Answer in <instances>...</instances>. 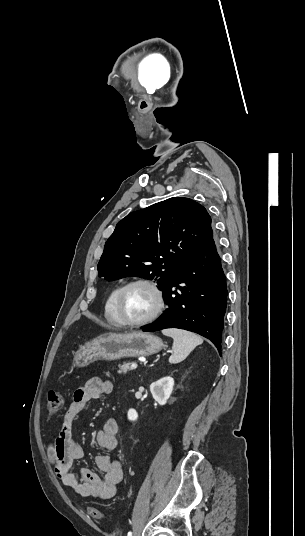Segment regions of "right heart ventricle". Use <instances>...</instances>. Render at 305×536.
<instances>
[{"label":"right heart ventricle","mask_w":305,"mask_h":536,"mask_svg":"<svg viewBox=\"0 0 305 536\" xmlns=\"http://www.w3.org/2000/svg\"><path fill=\"white\" fill-rule=\"evenodd\" d=\"M121 286V284H117L112 288L104 304V318L112 326H120L119 319L115 313V299Z\"/></svg>","instance_id":"obj_1"}]
</instances>
